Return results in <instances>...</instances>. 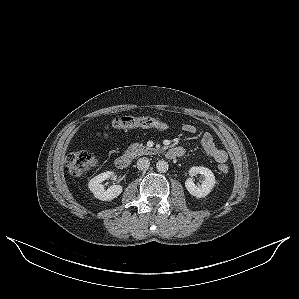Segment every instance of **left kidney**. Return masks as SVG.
Here are the masks:
<instances>
[{"label":"left kidney","instance_id":"left-kidney-1","mask_svg":"<svg viewBox=\"0 0 299 299\" xmlns=\"http://www.w3.org/2000/svg\"><path fill=\"white\" fill-rule=\"evenodd\" d=\"M194 174H201L204 177V181L201 184L196 185L191 177L188 178L185 181V187L187 191L197 198L207 196L214 188L216 183L213 172L208 168L196 166L190 168L189 170L190 176H193Z\"/></svg>","mask_w":299,"mask_h":299}]
</instances>
